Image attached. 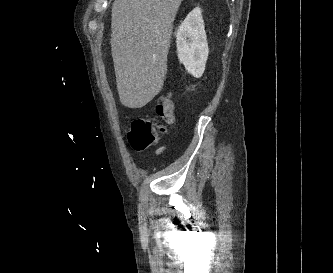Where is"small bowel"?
<instances>
[{"mask_svg": "<svg viewBox=\"0 0 333 273\" xmlns=\"http://www.w3.org/2000/svg\"><path fill=\"white\" fill-rule=\"evenodd\" d=\"M167 147L166 146H161L156 150V155H160L166 151Z\"/></svg>", "mask_w": 333, "mask_h": 273, "instance_id": "c3829d8e", "label": "small bowel"}]
</instances>
